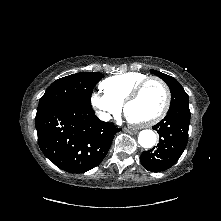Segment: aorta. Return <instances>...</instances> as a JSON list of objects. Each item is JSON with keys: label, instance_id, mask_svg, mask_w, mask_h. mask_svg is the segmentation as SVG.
I'll use <instances>...</instances> for the list:
<instances>
[{"label": "aorta", "instance_id": "aorta-1", "mask_svg": "<svg viewBox=\"0 0 221 221\" xmlns=\"http://www.w3.org/2000/svg\"><path fill=\"white\" fill-rule=\"evenodd\" d=\"M138 143L143 148H151L156 144V133L153 130H142L138 136Z\"/></svg>", "mask_w": 221, "mask_h": 221}]
</instances>
